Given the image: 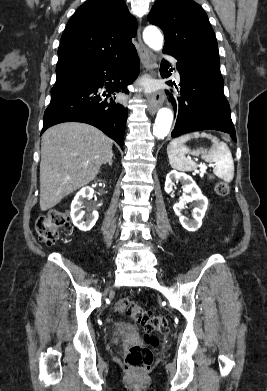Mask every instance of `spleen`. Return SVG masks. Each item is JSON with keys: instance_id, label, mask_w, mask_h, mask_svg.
I'll return each instance as SVG.
<instances>
[{"instance_id": "3e777b00", "label": "spleen", "mask_w": 267, "mask_h": 391, "mask_svg": "<svg viewBox=\"0 0 267 391\" xmlns=\"http://www.w3.org/2000/svg\"><path fill=\"white\" fill-rule=\"evenodd\" d=\"M208 138L212 142L211 148L208 149H197L190 150L185 146V142L192 138ZM167 154L169 163L172 168L188 172L193 171L197 168L194 161L186 157V154L201 155L206 162H214L215 168L214 174L224 180L225 182H231L234 177V162L231 151L225 142L220 141L217 137L207 134L205 132H193L180 136L170 142L167 146Z\"/></svg>"}]
</instances>
